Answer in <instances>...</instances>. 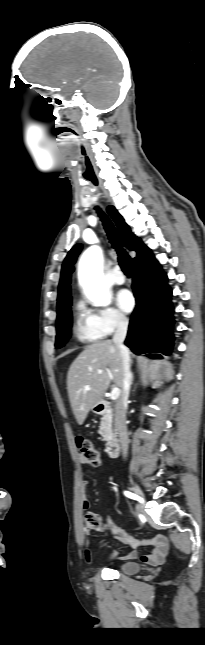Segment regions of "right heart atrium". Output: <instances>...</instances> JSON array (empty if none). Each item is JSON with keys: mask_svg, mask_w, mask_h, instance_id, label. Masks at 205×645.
Listing matches in <instances>:
<instances>
[{"mask_svg": "<svg viewBox=\"0 0 205 645\" xmlns=\"http://www.w3.org/2000/svg\"><path fill=\"white\" fill-rule=\"evenodd\" d=\"M92 323L103 335L108 336L117 330L125 329L129 324L128 317L120 310L106 306L91 314Z\"/></svg>", "mask_w": 205, "mask_h": 645, "instance_id": "right-heart-atrium-1", "label": "right heart atrium"}]
</instances>
